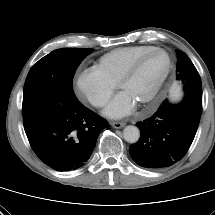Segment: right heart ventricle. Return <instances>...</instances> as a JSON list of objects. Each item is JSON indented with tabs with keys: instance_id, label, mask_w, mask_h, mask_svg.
I'll return each instance as SVG.
<instances>
[{
	"instance_id": "e07e8e85",
	"label": "right heart ventricle",
	"mask_w": 215,
	"mask_h": 215,
	"mask_svg": "<svg viewBox=\"0 0 215 215\" xmlns=\"http://www.w3.org/2000/svg\"><path fill=\"white\" fill-rule=\"evenodd\" d=\"M154 48L144 45L116 48L101 56L94 68L116 85L122 74L134 60Z\"/></svg>"
}]
</instances>
